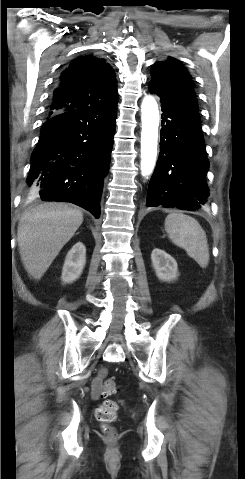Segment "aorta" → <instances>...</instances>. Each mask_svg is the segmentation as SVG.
Here are the masks:
<instances>
[{
  "mask_svg": "<svg viewBox=\"0 0 245 479\" xmlns=\"http://www.w3.org/2000/svg\"><path fill=\"white\" fill-rule=\"evenodd\" d=\"M141 172L152 173L157 157L159 110L154 97L146 96L141 105Z\"/></svg>",
  "mask_w": 245,
  "mask_h": 479,
  "instance_id": "aorta-1",
  "label": "aorta"
}]
</instances>
